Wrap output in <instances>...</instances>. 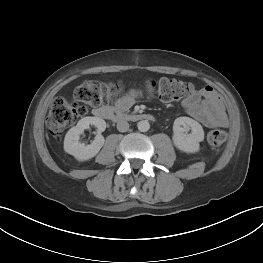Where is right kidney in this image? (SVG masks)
<instances>
[{"instance_id": "1", "label": "right kidney", "mask_w": 263, "mask_h": 263, "mask_svg": "<svg viewBox=\"0 0 263 263\" xmlns=\"http://www.w3.org/2000/svg\"><path fill=\"white\" fill-rule=\"evenodd\" d=\"M89 125L97 127L98 134L95 140L89 144L79 142L80 135ZM106 129V122L98 117H84L78 121L77 125L69 129L64 139V150L73 155L79 161H85L97 155L104 144V137L101 133Z\"/></svg>"}]
</instances>
